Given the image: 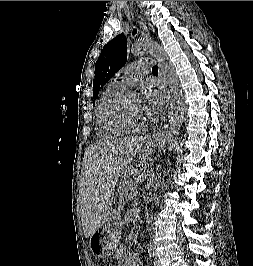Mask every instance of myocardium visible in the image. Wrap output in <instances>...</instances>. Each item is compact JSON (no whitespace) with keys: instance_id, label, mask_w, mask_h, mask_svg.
I'll return each mask as SVG.
<instances>
[{"instance_id":"1","label":"myocardium","mask_w":253,"mask_h":266,"mask_svg":"<svg viewBox=\"0 0 253 266\" xmlns=\"http://www.w3.org/2000/svg\"><path fill=\"white\" fill-rule=\"evenodd\" d=\"M132 93L135 92L130 90L123 92L116 99L111 109V120L113 123L126 131H136L144 124V120L134 122L126 114L125 103L129 95Z\"/></svg>"}]
</instances>
